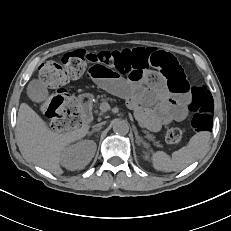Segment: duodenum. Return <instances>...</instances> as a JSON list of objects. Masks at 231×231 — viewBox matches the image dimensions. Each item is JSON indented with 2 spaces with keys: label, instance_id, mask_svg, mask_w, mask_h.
I'll use <instances>...</instances> for the list:
<instances>
[{
  "label": "duodenum",
  "instance_id": "obj_1",
  "mask_svg": "<svg viewBox=\"0 0 231 231\" xmlns=\"http://www.w3.org/2000/svg\"><path fill=\"white\" fill-rule=\"evenodd\" d=\"M81 120L84 124L90 123L92 119V105L87 99L80 101L79 103Z\"/></svg>",
  "mask_w": 231,
  "mask_h": 231
}]
</instances>
